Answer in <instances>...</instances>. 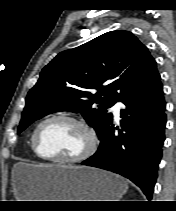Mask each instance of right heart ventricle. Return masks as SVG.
Returning a JSON list of instances; mask_svg holds the SVG:
<instances>
[{
	"label": "right heart ventricle",
	"instance_id": "obj_1",
	"mask_svg": "<svg viewBox=\"0 0 176 211\" xmlns=\"http://www.w3.org/2000/svg\"><path fill=\"white\" fill-rule=\"evenodd\" d=\"M30 146H31V148H32V144H31V142H30ZM32 150H33V148H32Z\"/></svg>",
	"mask_w": 176,
	"mask_h": 211
}]
</instances>
